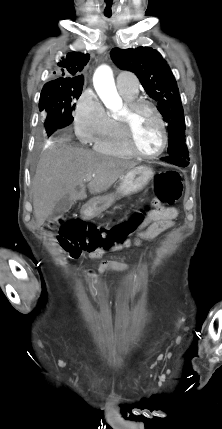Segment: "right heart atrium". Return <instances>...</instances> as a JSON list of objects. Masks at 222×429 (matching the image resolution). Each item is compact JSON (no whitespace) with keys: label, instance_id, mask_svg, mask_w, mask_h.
I'll return each instance as SVG.
<instances>
[{"label":"right heart atrium","instance_id":"right-heart-atrium-1","mask_svg":"<svg viewBox=\"0 0 222 429\" xmlns=\"http://www.w3.org/2000/svg\"><path fill=\"white\" fill-rule=\"evenodd\" d=\"M73 119L76 134L84 143L95 142L108 124V115L91 89L83 91L76 101Z\"/></svg>","mask_w":222,"mask_h":429}]
</instances>
